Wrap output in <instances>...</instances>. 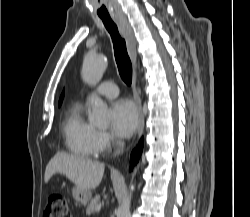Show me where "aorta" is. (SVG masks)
Wrapping results in <instances>:
<instances>
[{"label":"aorta","instance_id":"aorta-1","mask_svg":"<svg viewBox=\"0 0 250 217\" xmlns=\"http://www.w3.org/2000/svg\"><path fill=\"white\" fill-rule=\"evenodd\" d=\"M106 67L107 62L103 54L89 53L84 58L81 76L87 84L95 86L101 80ZM91 102L92 111L89 115L90 122L101 127L107 126V105L96 96H93L91 98ZM131 198L132 193L128 192V194L124 197L121 205L118 208L117 217H130Z\"/></svg>","mask_w":250,"mask_h":217}]
</instances>
